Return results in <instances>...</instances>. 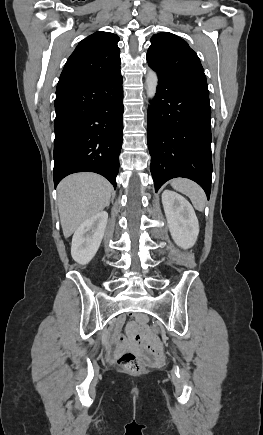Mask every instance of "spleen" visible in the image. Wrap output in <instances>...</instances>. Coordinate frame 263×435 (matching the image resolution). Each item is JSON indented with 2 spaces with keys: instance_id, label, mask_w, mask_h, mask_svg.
<instances>
[{
  "instance_id": "1",
  "label": "spleen",
  "mask_w": 263,
  "mask_h": 435,
  "mask_svg": "<svg viewBox=\"0 0 263 435\" xmlns=\"http://www.w3.org/2000/svg\"><path fill=\"white\" fill-rule=\"evenodd\" d=\"M171 186L188 196L198 211H203L206 202V195L203 189L192 180H188L185 178H177L171 181Z\"/></svg>"
}]
</instances>
